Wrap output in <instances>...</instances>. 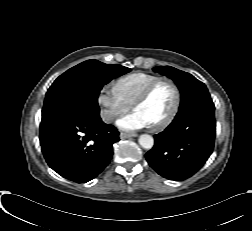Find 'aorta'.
Returning a JSON list of instances; mask_svg holds the SVG:
<instances>
[{
    "label": "aorta",
    "mask_w": 252,
    "mask_h": 231,
    "mask_svg": "<svg viewBox=\"0 0 252 231\" xmlns=\"http://www.w3.org/2000/svg\"><path fill=\"white\" fill-rule=\"evenodd\" d=\"M139 144L144 149H151L154 145V139L151 135L142 134L138 139Z\"/></svg>",
    "instance_id": "obj_1"
}]
</instances>
